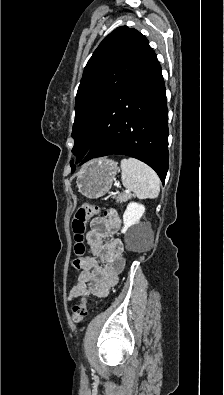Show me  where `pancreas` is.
<instances>
[{
    "label": "pancreas",
    "instance_id": "obj_1",
    "mask_svg": "<svg viewBox=\"0 0 224 395\" xmlns=\"http://www.w3.org/2000/svg\"><path fill=\"white\" fill-rule=\"evenodd\" d=\"M131 195L127 193H118L116 196V202L122 203L130 199Z\"/></svg>",
    "mask_w": 224,
    "mask_h": 395
}]
</instances>
